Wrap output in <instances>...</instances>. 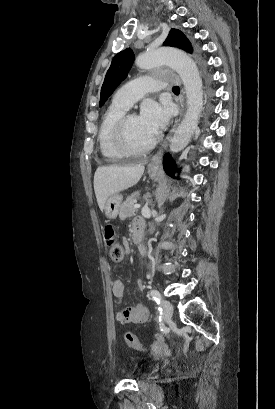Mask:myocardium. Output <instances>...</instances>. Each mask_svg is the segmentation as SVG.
<instances>
[{
  "instance_id": "myocardium-1",
  "label": "myocardium",
  "mask_w": 275,
  "mask_h": 409,
  "mask_svg": "<svg viewBox=\"0 0 275 409\" xmlns=\"http://www.w3.org/2000/svg\"><path fill=\"white\" fill-rule=\"evenodd\" d=\"M135 114H125L118 122L116 127V144L125 155H144L149 153L157 144V138L154 137L146 146L135 147L130 142L128 123L129 119Z\"/></svg>"
}]
</instances>
